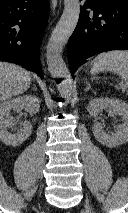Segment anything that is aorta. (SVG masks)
<instances>
[{
  "label": "aorta",
  "mask_w": 128,
  "mask_h": 213,
  "mask_svg": "<svg viewBox=\"0 0 128 213\" xmlns=\"http://www.w3.org/2000/svg\"><path fill=\"white\" fill-rule=\"evenodd\" d=\"M80 15L79 0H64V11L47 44L46 58L52 78L62 79L57 87L62 97L72 94L73 82L62 58L63 47L73 33Z\"/></svg>",
  "instance_id": "obj_1"
}]
</instances>
